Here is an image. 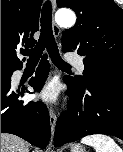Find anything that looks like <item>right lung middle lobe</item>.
Instances as JSON below:
<instances>
[{"instance_id":"obj_1","label":"right lung middle lobe","mask_w":123,"mask_h":152,"mask_svg":"<svg viewBox=\"0 0 123 152\" xmlns=\"http://www.w3.org/2000/svg\"><path fill=\"white\" fill-rule=\"evenodd\" d=\"M14 70L10 69H1V81H7V77L11 74Z\"/></svg>"}]
</instances>
